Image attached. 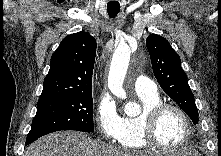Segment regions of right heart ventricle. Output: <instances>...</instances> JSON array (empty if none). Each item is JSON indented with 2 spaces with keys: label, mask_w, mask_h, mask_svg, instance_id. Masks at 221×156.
I'll return each instance as SVG.
<instances>
[{
  "label": "right heart ventricle",
  "mask_w": 221,
  "mask_h": 156,
  "mask_svg": "<svg viewBox=\"0 0 221 156\" xmlns=\"http://www.w3.org/2000/svg\"><path fill=\"white\" fill-rule=\"evenodd\" d=\"M138 97L143 105L142 113L138 116H125L121 118V130L117 141L126 148L142 149L148 146L141 135L142 117L148 109L162 102L158 93L153 95L138 94Z\"/></svg>",
  "instance_id": "1"
}]
</instances>
